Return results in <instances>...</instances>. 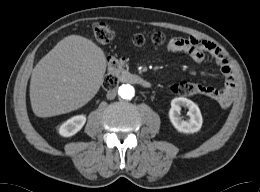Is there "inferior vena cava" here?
<instances>
[{"label": "inferior vena cava", "mask_w": 260, "mask_h": 192, "mask_svg": "<svg viewBox=\"0 0 260 192\" xmlns=\"http://www.w3.org/2000/svg\"><path fill=\"white\" fill-rule=\"evenodd\" d=\"M107 99L112 100L116 97V91L115 90H110L108 91L106 95Z\"/></svg>", "instance_id": "obj_1"}]
</instances>
